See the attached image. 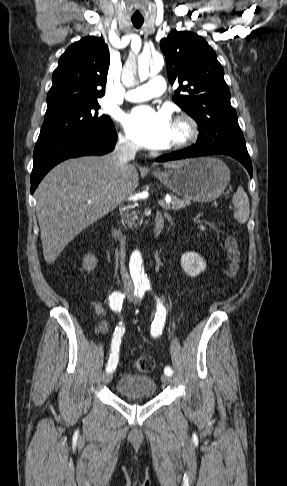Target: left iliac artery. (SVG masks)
<instances>
[{
  "label": "left iliac artery",
  "mask_w": 287,
  "mask_h": 486,
  "mask_svg": "<svg viewBox=\"0 0 287 486\" xmlns=\"http://www.w3.org/2000/svg\"><path fill=\"white\" fill-rule=\"evenodd\" d=\"M147 289L150 290V287H147ZM165 320H166V309L163 306L162 302L159 299H157V311L155 314V319L151 325V335L153 337H157L158 335L161 334L164 327ZM164 373L168 376H171L173 374V371L171 367L167 366L164 369Z\"/></svg>",
  "instance_id": "44dca946"
}]
</instances>
